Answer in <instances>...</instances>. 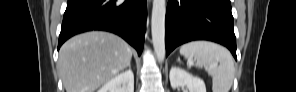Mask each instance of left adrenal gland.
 Listing matches in <instances>:
<instances>
[{"instance_id": "1", "label": "left adrenal gland", "mask_w": 296, "mask_h": 92, "mask_svg": "<svg viewBox=\"0 0 296 92\" xmlns=\"http://www.w3.org/2000/svg\"><path fill=\"white\" fill-rule=\"evenodd\" d=\"M177 61L181 62L180 58L178 57Z\"/></svg>"}]
</instances>
